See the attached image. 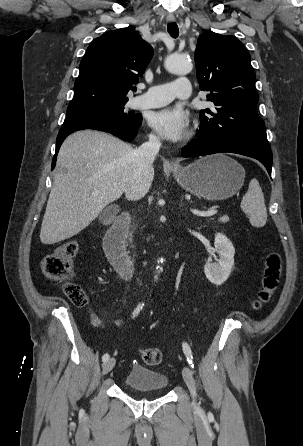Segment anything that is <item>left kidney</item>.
<instances>
[{
    "instance_id": "1",
    "label": "left kidney",
    "mask_w": 303,
    "mask_h": 446,
    "mask_svg": "<svg viewBox=\"0 0 303 446\" xmlns=\"http://www.w3.org/2000/svg\"><path fill=\"white\" fill-rule=\"evenodd\" d=\"M214 246L219 259L215 262H207L204 272L211 283L221 285L231 274L235 249L232 242L222 233L215 234Z\"/></svg>"
}]
</instances>
